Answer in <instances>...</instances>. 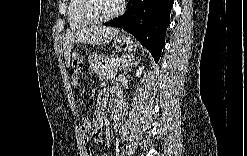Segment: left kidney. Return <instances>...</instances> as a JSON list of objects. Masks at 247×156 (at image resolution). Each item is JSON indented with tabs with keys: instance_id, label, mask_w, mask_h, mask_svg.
<instances>
[{
	"instance_id": "1",
	"label": "left kidney",
	"mask_w": 247,
	"mask_h": 156,
	"mask_svg": "<svg viewBox=\"0 0 247 156\" xmlns=\"http://www.w3.org/2000/svg\"><path fill=\"white\" fill-rule=\"evenodd\" d=\"M144 67H139L138 70H136V77H140L143 72Z\"/></svg>"
}]
</instances>
